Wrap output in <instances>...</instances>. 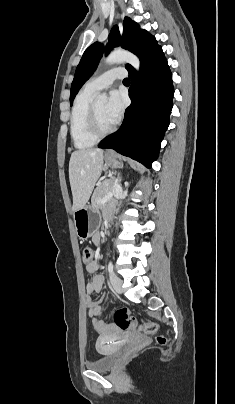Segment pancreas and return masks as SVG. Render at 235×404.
<instances>
[{"instance_id":"obj_1","label":"pancreas","mask_w":235,"mask_h":404,"mask_svg":"<svg viewBox=\"0 0 235 404\" xmlns=\"http://www.w3.org/2000/svg\"><path fill=\"white\" fill-rule=\"evenodd\" d=\"M113 179L105 180L101 182L97 188L95 189L92 198H91V203L94 208L97 207H103L105 206L104 203H101L100 200L109 192H111L112 187H113ZM113 199H110L109 201H112Z\"/></svg>"}]
</instances>
